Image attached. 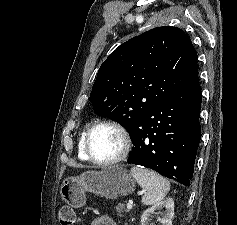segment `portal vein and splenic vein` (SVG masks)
Masks as SVG:
<instances>
[{
	"label": "portal vein and splenic vein",
	"mask_w": 237,
	"mask_h": 225,
	"mask_svg": "<svg viewBox=\"0 0 237 225\" xmlns=\"http://www.w3.org/2000/svg\"><path fill=\"white\" fill-rule=\"evenodd\" d=\"M127 209H132V203H127Z\"/></svg>",
	"instance_id": "obj_1"
}]
</instances>
